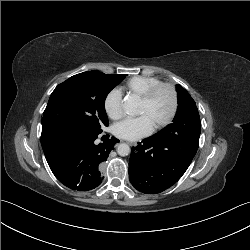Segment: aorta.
I'll list each match as a JSON object with an SVG mask.
<instances>
[{"label": "aorta", "instance_id": "762f6f07", "mask_svg": "<svg viewBox=\"0 0 250 250\" xmlns=\"http://www.w3.org/2000/svg\"><path fill=\"white\" fill-rule=\"evenodd\" d=\"M122 108H123L124 112L128 115H137L138 114V103L133 98L125 99L123 104H122ZM117 153L120 156H127L130 153V147L125 143H121L117 147Z\"/></svg>", "mask_w": 250, "mask_h": 250}]
</instances>
